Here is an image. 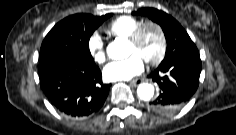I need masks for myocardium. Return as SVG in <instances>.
I'll return each mask as SVG.
<instances>
[{
	"mask_svg": "<svg viewBox=\"0 0 236 135\" xmlns=\"http://www.w3.org/2000/svg\"><path fill=\"white\" fill-rule=\"evenodd\" d=\"M150 27L154 28L158 33L159 49H158V52L154 58L144 60V61L149 65H157L163 60V58L166 54V50H167V37H166L164 29L162 28V26L159 23H157L155 21L143 22L140 26H138L135 29V31L133 32L131 37L128 39V41L132 46H134L135 48H138L141 41H142L145 31Z\"/></svg>",
	"mask_w": 236,
	"mask_h": 135,
	"instance_id": "f54148a6",
	"label": "myocardium"
}]
</instances>
